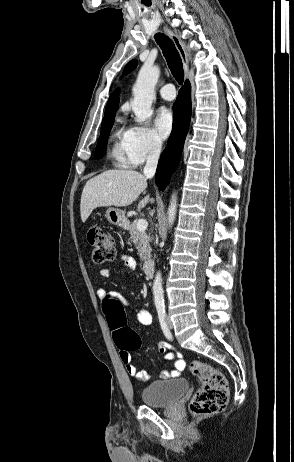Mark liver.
I'll list each match as a JSON object with an SVG mask.
<instances>
[{"label": "liver", "mask_w": 294, "mask_h": 462, "mask_svg": "<svg viewBox=\"0 0 294 462\" xmlns=\"http://www.w3.org/2000/svg\"><path fill=\"white\" fill-rule=\"evenodd\" d=\"M146 187L147 178L134 170H108L91 178L86 182L81 195L82 222L97 207H124L132 204ZM149 200V195L145 196L138 208H144Z\"/></svg>", "instance_id": "1"}]
</instances>
